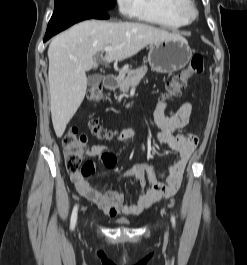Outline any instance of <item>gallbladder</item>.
<instances>
[{
	"label": "gallbladder",
	"instance_id": "obj_1",
	"mask_svg": "<svg viewBox=\"0 0 247 265\" xmlns=\"http://www.w3.org/2000/svg\"><path fill=\"white\" fill-rule=\"evenodd\" d=\"M102 80V76L101 75H92L88 77V85L89 86H95L97 84H99Z\"/></svg>",
	"mask_w": 247,
	"mask_h": 265
}]
</instances>
